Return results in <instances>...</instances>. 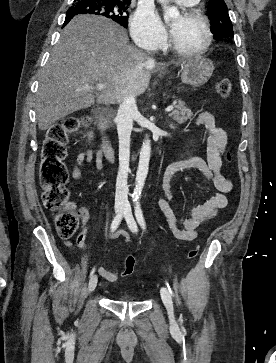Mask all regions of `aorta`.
Here are the masks:
<instances>
[{
    "instance_id": "obj_1",
    "label": "aorta",
    "mask_w": 276,
    "mask_h": 363,
    "mask_svg": "<svg viewBox=\"0 0 276 363\" xmlns=\"http://www.w3.org/2000/svg\"><path fill=\"white\" fill-rule=\"evenodd\" d=\"M163 8H164V20L165 22H169L173 19H176L180 16V13L176 6L168 5L167 0H158ZM150 153H151V145L150 140L147 139L143 142L138 170L136 173V187L134 189L133 198L139 199L142 193V189L147 177L149 161H150Z\"/></svg>"
}]
</instances>
